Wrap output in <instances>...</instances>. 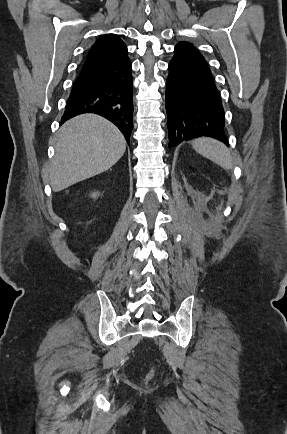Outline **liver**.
<instances>
[{"label":"liver","instance_id":"liver-1","mask_svg":"<svg viewBox=\"0 0 287 434\" xmlns=\"http://www.w3.org/2000/svg\"><path fill=\"white\" fill-rule=\"evenodd\" d=\"M125 150L124 136L105 118L83 114L68 120L57 134L56 153L49 168L53 191L107 171Z\"/></svg>","mask_w":287,"mask_h":434}]
</instances>
